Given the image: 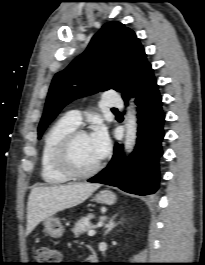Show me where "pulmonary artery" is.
<instances>
[{"instance_id": "1", "label": "pulmonary artery", "mask_w": 205, "mask_h": 265, "mask_svg": "<svg viewBox=\"0 0 205 265\" xmlns=\"http://www.w3.org/2000/svg\"><path fill=\"white\" fill-rule=\"evenodd\" d=\"M103 103L109 108H121L123 106L122 98L114 91H108L104 95ZM65 117L76 126L81 122V113L78 110H71L67 112Z\"/></svg>"}]
</instances>
